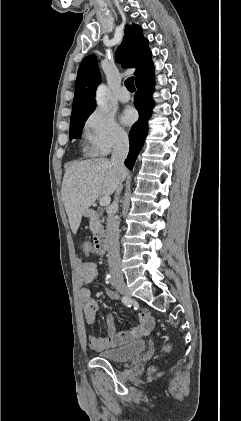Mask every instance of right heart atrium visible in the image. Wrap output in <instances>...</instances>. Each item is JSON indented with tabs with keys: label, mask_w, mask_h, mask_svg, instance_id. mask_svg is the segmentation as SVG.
Wrapping results in <instances>:
<instances>
[{
	"label": "right heart atrium",
	"mask_w": 241,
	"mask_h": 421,
	"mask_svg": "<svg viewBox=\"0 0 241 421\" xmlns=\"http://www.w3.org/2000/svg\"><path fill=\"white\" fill-rule=\"evenodd\" d=\"M84 134L89 151L95 156H105L128 142L126 131L115 118L100 109L94 110L87 117Z\"/></svg>",
	"instance_id": "obj_1"
}]
</instances>
